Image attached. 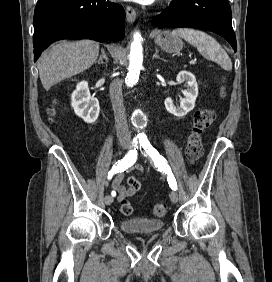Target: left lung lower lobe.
<instances>
[{"label": "left lung lower lobe", "mask_w": 272, "mask_h": 282, "mask_svg": "<svg viewBox=\"0 0 272 282\" xmlns=\"http://www.w3.org/2000/svg\"><path fill=\"white\" fill-rule=\"evenodd\" d=\"M231 8L227 0H173L167 10L151 23L160 28L192 27L223 36L237 50L231 23Z\"/></svg>", "instance_id": "1"}]
</instances>
